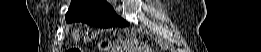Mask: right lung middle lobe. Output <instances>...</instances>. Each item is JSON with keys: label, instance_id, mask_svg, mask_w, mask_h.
Returning <instances> with one entry per match:
<instances>
[{"label": "right lung middle lobe", "instance_id": "dd1d6c3e", "mask_svg": "<svg viewBox=\"0 0 261 52\" xmlns=\"http://www.w3.org/2000/svg\"><path fill=\"white\" fill-rule=\"evenodd\" d=\"M66 21H82L100 28L128 25L105 0H73Z\"/></svg>", "mask_w": 261, "mask_h": 52}]
</instances>
